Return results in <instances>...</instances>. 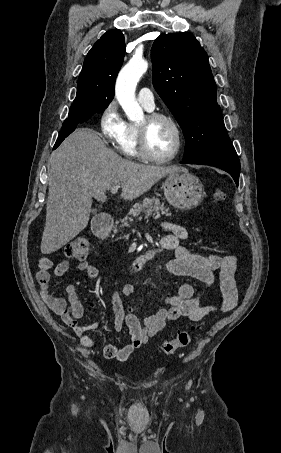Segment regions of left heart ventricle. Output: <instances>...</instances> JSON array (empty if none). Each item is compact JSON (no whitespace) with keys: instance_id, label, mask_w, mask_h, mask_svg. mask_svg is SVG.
Returning <instances> with one entry per match:
<instances>
[{"instance_id":"b2bd125f","label":"left heart ventricle","mask_w":281,"mask_h":453,"mask_svg":"<svg viewBox=\"0 0 281 453\" xmlns=\"http://www.w3.org/2000/svg\"><path fill=\"white\" fill-rule=\"evenodd\" d=\"M143 121L141 123H143ZM174 142L175 133L171 126L166 122L159 121L150 127L149 144L155 155L159 157L169 155L173 149Z\"/></svg>"}]
</instances>
